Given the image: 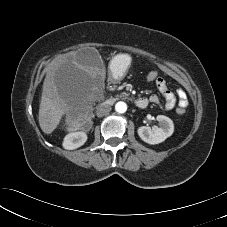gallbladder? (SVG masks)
<instances>
[{
  "mask_svg": "<svg viewBox=\"0 0 227 227\" xmlns=\"http://www.w3.org/2000/svg\"><path fill=\"white\" fill-rule=\"evenodd\" d=\"M77 58L84 66L94 67L97 73H102L104 71L100 54L93 48H84L80 50L77 54Z\"/></svg>",
  "mask_w": 227,
  "mask_h": 227,
  "instance_id": "bac80fb5",
  "label": "gallbladder"
}]
</instances>
